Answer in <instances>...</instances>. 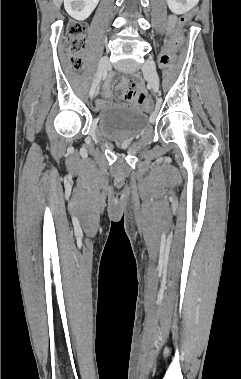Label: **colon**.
I'll use <instances>...</instances> for the list:
<instances>
[{
  "instance_id": "5ec220e1",
  "label": "colon",
  "mask_w": 241,
  "mask_h": 379,
  "mask_svg": "<svg viewBox=\"0 0 241 379\" xmlns=\"http://www.w3.org/2000/svg\"><path fill=\"white\" fill-rule=\"evenodd\" d=\"M191 14H196V9H191ZM190 13H183L181 18V23L173 24V32L169 33L167 36V43L164 46L159 47V53H156L155 63H160L161 65H172L175 62L174 53L177 52V47L179 43L185 38V33L182 32V27L184 30L190 29L189 20L192 18ZM191 22V21H190ZM86 33L87 26L83 23H72L69 25L65 40V51L68 57L69 63L73 67H78L80 65L81 55L85 49L86 43ZM142 104L144 109H151L152 103L150 98H143Z\"/></svg>"
}]
</instances>
